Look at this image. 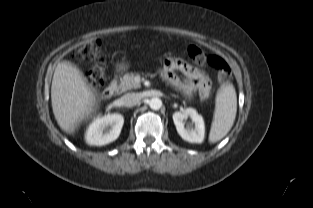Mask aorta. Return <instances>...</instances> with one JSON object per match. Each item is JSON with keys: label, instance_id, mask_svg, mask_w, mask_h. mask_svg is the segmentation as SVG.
I'll use <instances>...</instances> for the list:
<instances>
[{"label": "aorta", "instance_id": "obj_1", "mask_svg": "<svg viewBox=\"0 0 313 208\" xmlns=\"http://www.w3.org/2000/svg\"><path fill=\"white\" fill-rule=\"evenodd\" d=\"M149 106L153 110H159L162 107V101L159 98H152L149 101Z\"/></svg>", "mask_w": 313, "mask_h": 208}]
</instances>
